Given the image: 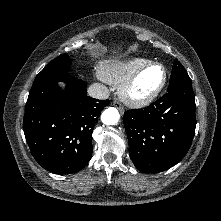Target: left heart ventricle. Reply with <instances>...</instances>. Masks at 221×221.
I'll use <instances>...</instances> for the list:
<instances>
[{
  "mask_svg": "<svg viewBox=\"0 0 221 221\" xmlns=\"http://www.w3.org/2000/svg\"><path fill=\"white\" fill-rule=\"evenodd\" d=\"M162 80V69L152 67L148 69L137 84V90L140 92L150 91L156 88Z\"/></svg>",
  "mask_w": 221,
  "mask_h": 221,
  "instance_id": "1",
  "label": "left heart ventricle"
}]
</instances>
